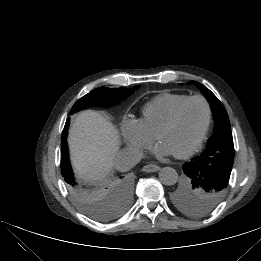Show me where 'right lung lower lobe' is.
<instances>
[{
  "label": "right lung lower lobe",
  "mask_w": 261,
  "mask_h": 261,
  "mask_svg": "<svg viewBox=\"0 0 261 261\" xmlns=\"http://www.w3.org/2000/svg\"><path fill=\"white\" fill-rule=\"evenodd\" d=\"M69 118L66 121L63 133H62V141H61V168L63 170H69L71 169L70 162H69V155H68V146H67V133H68V127H69Z\"/></svg>",
  "instance_id": "obj_1"
}]
</instances>
